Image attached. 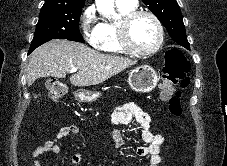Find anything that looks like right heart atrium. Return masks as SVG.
Segmentation results:
<instances>
[{"mask_svg":"<svg viewBox=\"0 0 227 166\" xmlns=\"http://www.w3.org/2000/svg\"><path fill=\"white\" fill-rule=\"evenodd\" d=\"M80 29L84 39L92 46H99L102 38L101 23L96 7L90 5L84 9L80 18Z\"/></svg>","mask_w":227,"mask_h":166,"instance_id":"d8ad5b80","label":"right heart atrium"}]
</instances>
